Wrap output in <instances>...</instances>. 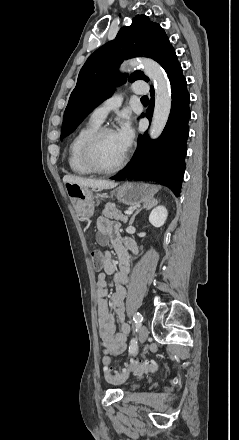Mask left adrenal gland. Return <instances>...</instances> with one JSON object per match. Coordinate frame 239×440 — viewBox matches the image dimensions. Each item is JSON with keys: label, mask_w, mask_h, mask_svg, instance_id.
<instances>
[{"label": "left adrenal gland", "mask_w": 239, "mask_h": 440, "mask_svg": "<svg viewBox=\"0 0 239 440\" xmlns=\"http://www.w3.org/2000/svg\"><path fill=\"white\" fill-rule=\"evenodd\" d=\"M144 208H146V206H144ZM141 210H143V208H139V210H136L135 214H133V216H132V218H131V220L129 222V226H132V224H133L137 214H139V212H141Z\"/></svg>", "instance_id": "obj_1"}]
</instances>
